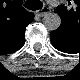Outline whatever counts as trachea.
I'll use <instances>...</instances> for the list:
<instances>
[{
  "mask_svg": "<svg viewBox=\"0 0 80 80\" xmlns=\"http://www.w3.org/2000/svg\"><path fill=\"white\" fill-rule=\"evenodd\" d=\"M34 3V5H37L35 2H33ZM41 8V7H40ZM40 8H33V9H31V10H39Z\"/></svg>",
  "mask_w": 80,
  "mask_h": 80,
  "instance_id": "3493384b",
  "label": "trachea"
}]
</instances>
